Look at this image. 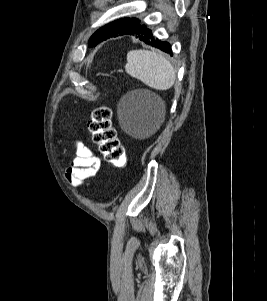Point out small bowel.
<instances>
[{"label": "small bowel", "mask_w": 267, "mask_h": 301, "mask_svg": "<svg viewBox=\"0 0 267 301\" xmlns=\"http://www.w3.org/2000/svg\"><path fill=\"white\" fill-rule=\"evenodd\" d=\"M75 156L66 171L67 180L75 187L88 185V179L100 170L101 160L97 154L82 141H74Z\"/></svg>", "instance_id": "c3829d8e"}]
</instances>
